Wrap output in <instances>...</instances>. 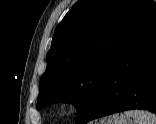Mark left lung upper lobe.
<instances>
[{"instance_id": "obj_1", "label": "left lung upper lobe", "mask_w": 156, "mask_h": 124, "mask_svg": "<svg viewBox=\"0 0 156 124\" xmlns=\"http://www.w3.org/2000/svg\"><path fill=\"white\" fill-rule=\"evenodd\" d=\"M155 13L153 0H79L55 29L37 109L72 102L79 124L116 61Z\"/></svg>"}]
</instances>
